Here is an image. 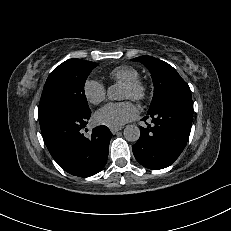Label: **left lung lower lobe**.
Listing matches in <instances>:
<instances>
[{"label": "left lung lower lobe", "instance_id": "1", "mask_svg": "<svg viewBox=\"0 0 231 231\" xmlns=\"http://www.w3.org/2000/svg\"><path fill=\"white\" fill-rule=\"evenodd\" d=\"M148 118L152 119L153 125L141 127L140 138L132 150L136 160L144 167L163 169L171 165L186 146L193 118L192 98H168L149 110L142 120Z\"/></svg>", "mask_w": 231, "mask_h": 231}]
</instances>
